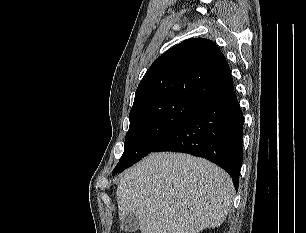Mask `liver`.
<instances>
[{
	"label": "liver",
	"instance_id": "obj_1",
	"mask_svg": "<svg viewBox=\"0 0 306 233\" xmlns=\"http://www.w3.org/2000/svg\"><path fill=\"white\" fill-rule=\"evenodd\" d=\"M231 177L189 154L159 152L129 168L116 196L119 218L137 214L141 233H199L226 219L234 198Z\"/></svg>",
	"mask_w": 306,
	"mask_h": 233
}]
</instances>
